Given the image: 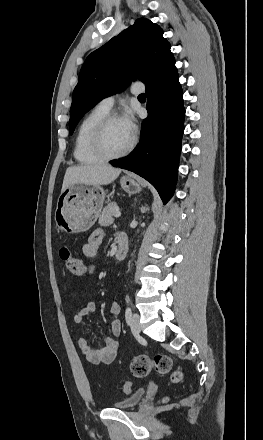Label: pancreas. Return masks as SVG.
<instances>
[{
  "label": "pancreas",
  "instance_id": "pancreas-1",
  "mask_svg": "<svg viewBox=\"0 0 263 440\" xmlns=\"http://www.w3.org/2000/svg\"><path fill=\"white\" fill-rule=\"evenodd\" d=\"M118 209L119 208L116 202L108 203V205L103 209L100 215L99 224L101 226H108L113 223V216Z\"/></svg>",
  "mask_w": 263,
  "mask_h": 440
}]
</instances>
